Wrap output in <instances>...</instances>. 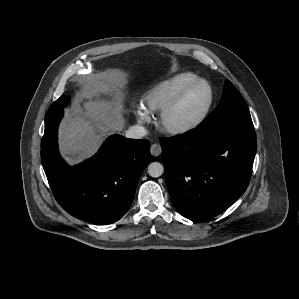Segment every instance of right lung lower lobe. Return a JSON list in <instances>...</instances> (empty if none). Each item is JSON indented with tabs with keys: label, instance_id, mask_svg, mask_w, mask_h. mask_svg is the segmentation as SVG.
<instances>
[{
	"label": "right lung lower lobe",
	"instance_id": "right-lung-lower-lobe-1",
	"mask_svg": "<svg viewBox=\"0 0 299 299\" xmlns=\"http://www.w3.org/2000/svg\"><path fill=\"white\" fill-rule=\"evenodd\" d=\"M63 109L48 110L41 160L57 202L72 216L96 224L119 220L129 209L141 174L151 160L148 140L109 137L98 153L71 167L58 152Z\"/></svg>",
	"mask_w": 299,
	"mask_h": 299
}]
</instances>
